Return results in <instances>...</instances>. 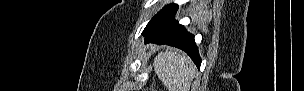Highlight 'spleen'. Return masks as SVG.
Segmentation results:
<instances>
[{"label":"spleen","mask_w":304,"mask_h":91,"mask_svg":"<svg viewBox=\"0 0 304 91\" xmlns=\"http://www.w3.org/2000/svg\"><path fill=\"white\" fill-rule=\"evenodd\" d=\"M154 70L168 91H189L195 66L190 58L175 49L159 52L154 58Z\"/></svg>","instance_id":"spleen-1"}]
</instances>
